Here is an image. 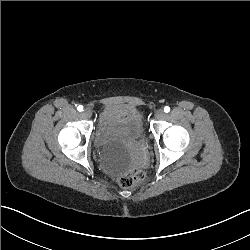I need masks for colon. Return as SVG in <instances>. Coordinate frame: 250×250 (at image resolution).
Wrapping results in <instances>:
<instances>
[{"instance_id":"1","label":"colon","mask_w":250,"mask_h":250,"mask_svg":"<svg viewBox=\"0 0 250 250\" xmlns=\"http://www.w3.org/2000/svg\"><path fill=\"white\" fill-rule=\"evenodd\" d=\"M146 172L139 167L121 171L116 178L117 184L124 189L131 188L133 185L139 186L146 181Z\"/></svg>"}]
</instances>
